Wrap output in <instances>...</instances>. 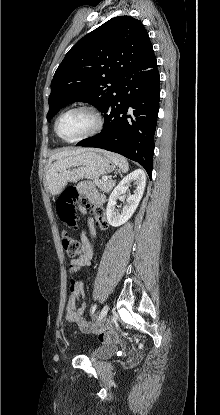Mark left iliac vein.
<instances>
[{"instance_id":"4c4485c4","label":"left iliac vein","mask_w":220,"mask_h":415,"mask_svg":"<svg viewBox=\"0 0 220 415\" xmlns=\"http://www.w3.org/2000/svg\"><path fill=\"white\" fill-rule=\"evenodd\" d=\"M103 310H104V311H106V315H107V312H108V310H109V305H108V304H106V305L104 306ZM106 315H105V316H103V317H102L100 320H98V321L104 320V319H105V317H106ZM98 319H99V318H98Z\"/></svg>"}]
</instances>
